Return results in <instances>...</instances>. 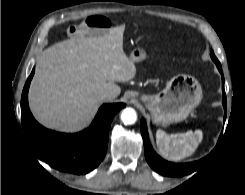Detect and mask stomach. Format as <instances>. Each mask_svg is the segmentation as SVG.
Here are the masks:
<instances>
[{
	"mask_svg": "<svg viewBox=\"0 0 245 195\" xmlns=\"http://www.w3.org/2000/svg\"><path fill=\"white\" fill-rule=\"evenodd\" d=\"M146 57L141 48L131 52L130 59L139 62ZM203 97L202 88L191 75L178 74L172 77L166 87L154 95H140V100L150 111L156 125L168 126L185 120Z\"/></svg>",
	"mask_w": 245,
	"mask_h": 195,
	"instance_id": "obj_1",
	"label": "stomach"
}]
</instances>
